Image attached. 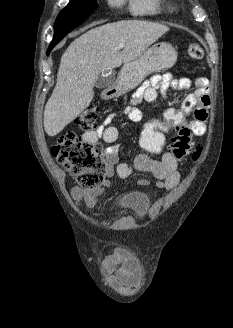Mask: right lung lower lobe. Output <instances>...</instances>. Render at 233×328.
<instances>
[{
    "instance_id": "obj_1",
    "label": "right lung lower lobe",
    "mask_w": 233,
    "mask_h": 328,
    "mask_svg": "<svg viewBox=\"0 0 233 328\" xmlns=\"http://www.w3.org/2000/svg\"><path fill=\"white\" fill-rule=\"evenodd\" d=\"M82 21L80 20H64L55 22V33L52 42L48 48L47 54L53 49V47L73 28L79 25Z\"/></svg>"
}]
</instances>
